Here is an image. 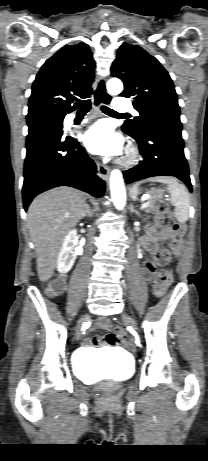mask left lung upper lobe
I'll list each match as a JSON object with an SVG mask.
<instances>
[{
    "label": "left lung upper lobe",
    "instance_id": "5c2ea615",
    "mask_svg": "<svg viewBox=\"0 0 208 461\" xmlns=\"http://www.w3.org/2000/svg\"><path fill=\"white\" fill-rule=\"evenodd\" d=\"M111 75L120 78L124 91L120 96L133 98L140 116L122 125L132 136L159 120L180 122V108L172 79L160 62L140 46L124 43L111 67Z\"/></svg>",
    "mask_w": 208,
    "mask_h": 461
}]
</instances>
